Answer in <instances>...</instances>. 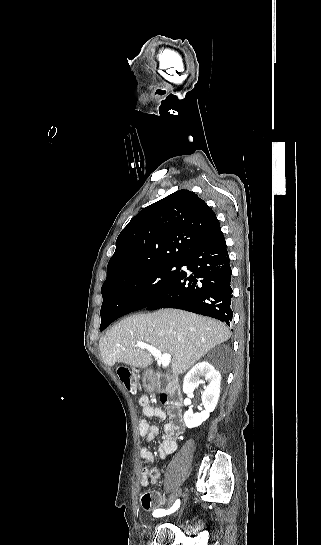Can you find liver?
<instances>
[{"label":"liver","mask_w":321,"mask_h":545,"mask_svg":"<svg viewBox=\"0 0 321 545\" xmlns=\"http://www.w3.org/2000/svg\"><path fill=\"white\" fill-rule=\"evenodd\" d=\"M230 337L228 327L220 321L179 309H160L131 315L114 325L101 337L99 351L108 367L125 363L146 369L153 363L152 355L146 349H137L136 343H147L161 353H171V373L177 377Z\"/></svg>","instance_id":"liver-1"}]
</instances>
